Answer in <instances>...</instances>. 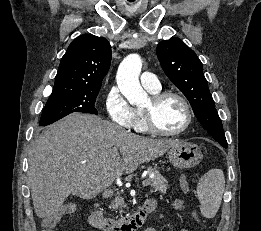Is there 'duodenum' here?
<instances>
[{
	"mask_svg": "<svg viewBox=\"0 0 261 231\" xmlns=\"http://www.w3.org/2000/svg\"><path fill=\"white\" fill-rule=\"evenodd\" d=\"M153 208L154 204L146 201L134 214L121 220L109 219L99 210H95L91 213L89 221L93 227L102 231H136Z\"/></svg>",
	"mask_w": 261,
	"mask_h": 231,
	"instance_id": "duodenum-1",
	"label": "duodenum"
}]
</instances>
